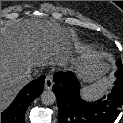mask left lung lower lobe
<instances>
[{"instance_id": "obj_1", "label": "left lung lower lobe", "mask_w": 123, "mask_h": 123, "mask_svg": "<svg viewBox=\"0 0 123 123\" xmlns=\"http://www.w3.org/2000/svg\"><path fill=\"white\" fill-rule=\"evenodd\" d=\"M117 78L111 93L97 102L80 97V84L71 72H57L52 87L58 104V123H113L123 104V78Z\"/></svg>"}]
</instances>
